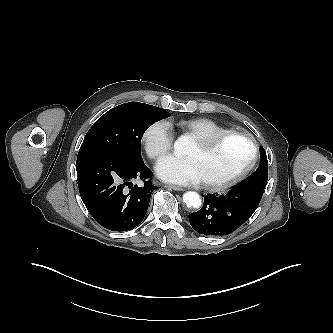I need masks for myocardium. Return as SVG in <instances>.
Returning <instances> with one entry per match:
<instances>
[{"label": "myocardium", "mask_w": 333, "mask_h": 333, "mask_svg": "<svg viewBox=\"0 0 333 333\" xmlns=\"http://www.w3.org/2000/svg\"><path fill=\"white\" fill-rule=\"evenodd\" d=\"M230 138H241L248 144L250 148V157L245 166L239 170L237 173L232 175L231 177L218 181V182H207L203 181V185L205 188L211 191H224L228 188L234 186L238 182L242 181L254 168L257 159H258V147L252 136L245 132L229 130L222 134L203 139H195L194 142L199 146L203 151H211L218 146H220L223 142Z\"/></svg>", "instance_id": "myocardium-1"}]
</instances>
